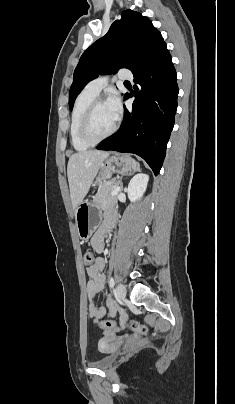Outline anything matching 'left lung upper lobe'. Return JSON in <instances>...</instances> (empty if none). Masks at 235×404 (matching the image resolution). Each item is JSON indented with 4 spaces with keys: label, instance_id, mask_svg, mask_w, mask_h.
Masks as SVG:
<instances>
[{
    "label": "left lung upper lobe",
    "instance_id": "1",
    "mask_svg": "<svg viewBox=\"0 0 235 404\" xmlns=\"http://www.w3.org/2000/svg\"><path fill=\"white\" fill-rule=\"evenodd\" d=\"M165 44L161 33L147 17L130 9L123 11L121 19L111 25L107 34L82 54L70 88V110L89 81L100 74H114L120 68L133 73Z\"/></svg>",
    "mask_w": 235,
    "mask_h": 404
}]
</instances>
